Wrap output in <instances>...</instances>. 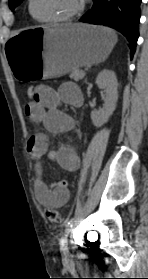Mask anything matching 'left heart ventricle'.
Returning <instances> with one entry per match:
<instances>
[{
  "label": "left heart ventricle",
  "mask_w": 148,
  "mask_h": 279,
  "mask_svg": "<svg viewBox=\"0 0 148 279\" xmlns=\"http://www.w3.org/2000/svg\"><path fill=\"white\" fill-rule=\"evenodd\" d=\"M76 5L77 0H33V10L41 18L63 16Z\"/></svg>",
  "instance_id": "1"
}]
</instances>
